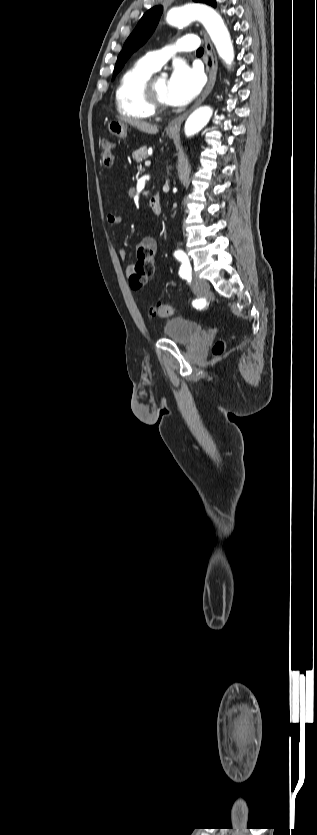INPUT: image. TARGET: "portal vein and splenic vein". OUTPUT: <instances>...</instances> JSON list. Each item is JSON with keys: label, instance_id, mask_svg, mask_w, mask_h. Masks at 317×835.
<instances>
[{"label": "portal vein and splenic vein", "instance_id": "18ae733b", "mask_svg": "<svg viewBox=\"0 0 317 835\" xmlns=\"http://www.w3.org/2000/svg\"><path fill=\"white\" fill-rule=\"evenodd\" d=\"M150 165H151V162H150V161H146V162H145V166H146V167H149Z\"/></svg>", "mask_w": 317, "mask_h": 835}]
</instances>
